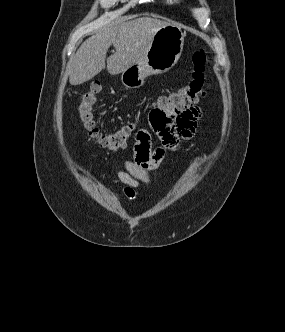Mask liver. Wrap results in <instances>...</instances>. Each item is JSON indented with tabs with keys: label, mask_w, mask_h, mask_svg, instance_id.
Here are the masks:
<instances>
[{
	"label": "liver",
	"mask_w": 285,
	"mask_h": 332,
	"mask_svg": "<svg viewBox=\"0 0 285 332\" xmlns=\"http://www.w3.org/2000/svg\"><path fill=\"white\" fill-rule=\"evenodd\" d=\"M169 23L156 18L121 19L95 32L77 50L68 66L69 82L80 85L105 68L109 47L116 52L107 58V71L117 75L140 63L156 32Z\"/></svg>",
	"instance_id": "1"
}]
</instances>
